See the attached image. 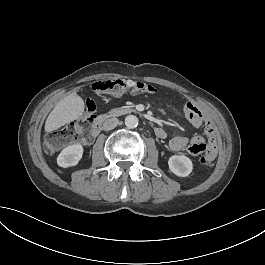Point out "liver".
Here are the masks:
<instances>
[{
	"mask_svg": "<svg viewBox=\"0 0 265 265\" xmlns=\"http://www.w3.org/2000/svg\"><path fill=\"white\" fill-rule=\"evenodd\" d=\"M84 112V101L73 92L63 98L48 115L45 131L52 132L79 118Z\"/></svg>",
	"mask_w": 265,
	"mask_h": 265,
	"instance_id": "obj_1",
	"label": "liver"
}]
</instances>
